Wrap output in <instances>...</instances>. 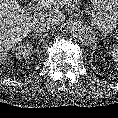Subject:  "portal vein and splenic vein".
I'll return each instance as SVG.
<instances>
[{
    "label": "portal vein and splenic vein",
    "instance_id": "portal-vein-and-splenic-vein-1",
    "mask_svg": "<svg viewBox=\"0 0 118 118\" xmlns=\"http://www.w3.org/2000/svg\"><path fill=\"white\" fill-rule=\"evenodd\" d=\"M52 2H53V0H48L46 4L49 5V4H51Z\"/></svg>",
    "mask_w": 118,
    "mask_h": 118
}]
</instances>
